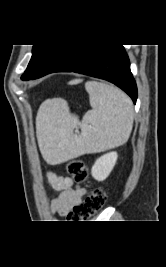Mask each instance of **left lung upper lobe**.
Listing matches in <instances>:
<instances>
[{"instance_id":"5c2ea615","label":"left lung upper lobe","mask_w":166,"mask_h":267,"mask_svg":"<svg viewBox=\"0 0 166 267\" xmlns=\"http://www.w3.org/2000/svg\"><path fill=\"white\" fill-rule=\"evenodd\" d=\"M56 44L49 45H34L32 49V57L28 64V67L24 74L21 76L22 80H31L43 61L48 57V55L57 47Z\"/></svg>"}]
</instances>
